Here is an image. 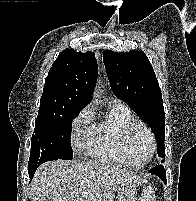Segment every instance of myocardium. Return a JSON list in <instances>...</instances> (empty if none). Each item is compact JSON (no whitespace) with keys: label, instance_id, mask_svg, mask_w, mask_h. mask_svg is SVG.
I'll use <instances>...</instances> for the list:
<instances>
[{"label":"myocardium","instance_id":"f54148a6","mask_svg":"<svg viewBox=\"0 0 196 201\" xmlns=\"http://www.w3.org/2000/svg\"><path fill=\"white\" fill-rule=\"evenodd\" d=\"M136 127H142L149 135L150 142H151L150 155H149L148 159L142 164H134L131 161V157H130L129 138H130L131 132ZM121 142H122V148H123L126 160L130 166L137 167V168L145 167L152 161V159L155 156L156 149H157L155 134H154L152 128L147 123H145L141 120H133L124 127L123 132H122Z\"/></svg>","mask_w":196,"mask_h":201}]
</instances>
